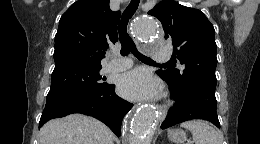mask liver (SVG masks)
I'll list each match as a JSON object with an SVG mask.
<instances>
[{"mask_svg":"<svg viewBox=\"0 0 260 144\" xmlns=\"http://www.w3.org/2000/svg\"><path fill=\"white\" fill-rule=\"evenodd\" d=\"M40 144H114L113 132L100 121L81 114L47 122Z\"/></svg>","mask_w":260,"mask_h":144,"instance_id":"liver-1","label":"liver"}]
</instances>
